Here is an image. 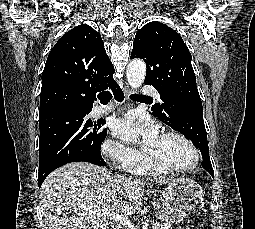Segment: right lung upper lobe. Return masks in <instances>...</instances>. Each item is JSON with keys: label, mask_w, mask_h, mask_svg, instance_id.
Returning <instances> with one entry per match:
<instances>
[{"label": "right lung upper lobe", "mask_w": 255, "mask_h": 229, "mask_svg": "<svg viewBox=\"0 0 255 229\" xmlns=\"http://www.w3.org/2000/svg\"><path fill=\"white\" fill-rule=\"evenodd\" d=\"M98 32L81 24L52 48L43 73L39 117L58 111H91L95 94L117 83Z\"/></svg>", "instance_id": "obj_1"}]
</instances>
